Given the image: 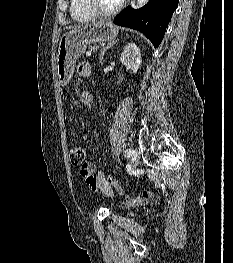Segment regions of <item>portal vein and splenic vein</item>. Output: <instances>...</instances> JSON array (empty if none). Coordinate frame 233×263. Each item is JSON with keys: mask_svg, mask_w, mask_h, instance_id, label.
<instances>
[{"mask_svg": "<svg viewBox=\"0 0 233 263\" xmlns=\"http://www.w3.org/2000/svg\"><path fill=\"white\" fill-rule=\"evenodd\" d=\"M86 55L87 56H91V52H86Z\"/></svg>", "mask_w": 233, "mask_h": 263, "instance_id": "obj_1", "label": "portal vein and splenic vein"}]
</instances>
